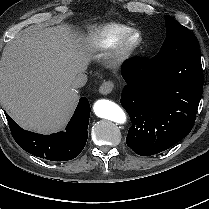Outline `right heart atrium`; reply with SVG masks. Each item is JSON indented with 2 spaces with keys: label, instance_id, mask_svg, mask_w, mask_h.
<instances>
[{
  "label": "right heart atrium",
  "instance_id": "d8ad5b80",
  "mask_svg": "<svg viewBox=\"0 0 209 209\" xmlns=\"http://www.w3.org/2000/svg\"><path fill=\"white\" fill-rule=\"evenodd\" d=\"M76 74L77 71L75 69H70L66 74V78H65L66 82L68 83L71 82L75 78Z\"/></svg>",
  "mask_w": 209,
  "mask_h": 209
}]
</instances>
